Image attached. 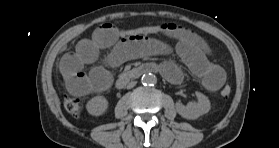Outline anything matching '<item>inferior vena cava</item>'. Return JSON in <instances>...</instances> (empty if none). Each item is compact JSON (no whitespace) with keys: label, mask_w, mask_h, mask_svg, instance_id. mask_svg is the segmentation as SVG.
<instances>
[{"label":"inferior vena cava","mask_w":279,"mask_h":148,"mask_svg":"<svg viewBox=\"0 0 279 148\" xmlns=\"http://www.w3.org/2000/svg\"><path fill=\"white\" fill-rule=\"evenodd\" d=\"M136 81H131L130 83H128L127 85V88L130 89V88H133L135 85H136Z\"/></svg>","instance_id":"obj_1"}]
</instances>
